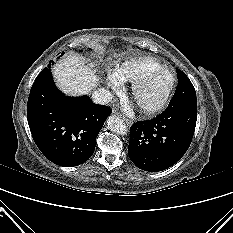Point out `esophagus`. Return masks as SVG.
<instances>
[{
	"mask_svg": "<svg viewBox=\"0 0 233 233\" xmlns=\"http://www.w3.org/2000/svg\"><path fill=\"white\" fill-rule=\"evenodd\" d=\"M122 119H123V121H125V123H126L128 126H130V125L132 124V122H131L128 118L123 117Z\"/></svg>",
	"mask_w": 233,
	"mask_h": 233,
	"instance_id": "34e87169",
	"label": "esophagus"
}]
</instances>
